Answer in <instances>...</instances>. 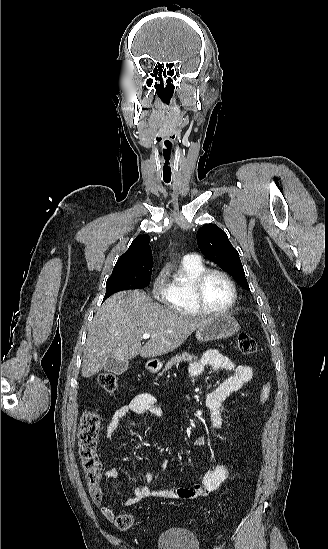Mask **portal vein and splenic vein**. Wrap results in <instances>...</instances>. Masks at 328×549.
I'll return each mask as SVG.
<instances>
[{
    "label": "portal vein and splenic vein",
    "mask_w": 328,
    "mask_h": 549,
    "mask_svg": "<svg viewBox=\"0 0 328 549\" xmlns=\"http://www.w3.org/2000/svg\"><path fill=\"white\" fill-rule=\"evenodd\" d=\"M151 337H156V335H142L141 339H151Z\"/></svg>",
    "instance_id": "portal-vein-and-splenic-vein-1"
}]
</instances>
